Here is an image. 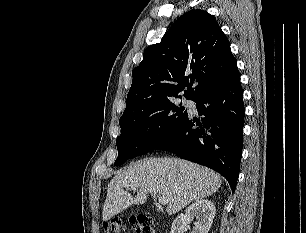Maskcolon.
Wrapping results in <instances>:
<instances>
[{
  "label": "colon",
  "mask_w": 306,
  "mask_h": 233,
  "mask_svg": "<svg viewBox=\"0 0 306 233\" xmlns=\"http://www.w3.org/2000/svg\"><path fill=\"white\" fill-rule=\"evenodd\" d=\"M128 223L135 233H154L152 221L146 216L132 217ZM124 230L125 224L119 219H113L103 225V233H123Z\"/></svg>",
  "instance_id": "obj_1"
}]
</instances>
